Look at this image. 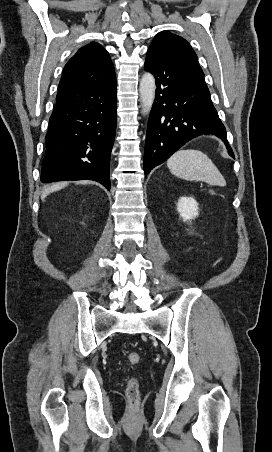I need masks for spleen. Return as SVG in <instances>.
I'll use <instances>...</instances> for the list:
<instances>
[{
  "label": "spleen",
  "mask_w": 272,
  "mask_h": 452,
  "mask_svg": "<svg viewBox=\"0 0 272 452\" xmlns=\"http://www.w3.org/2000/svg\"><path fill=\"white\" fill-rule=\"evenodd\" d=\"M172 174L185 180L204 181L210 185L225 186L226 181L212 160L198 150H179L168 160Z\"/></svg>",
  "instance_id": "spleen-1"
}]
</instances>
